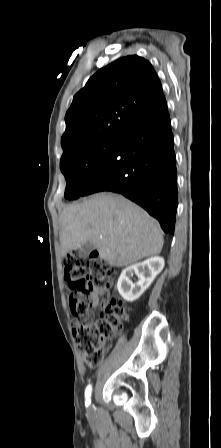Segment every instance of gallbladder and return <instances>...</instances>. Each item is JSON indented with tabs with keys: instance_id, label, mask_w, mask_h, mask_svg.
Returning <instances> with one entry per match:
<instances>
[{
	"instance_id": "gallbladder-1",
	"label": "gallbladder",
	"mask_w": 221,
	"mask_h": 448,
	"mask_svg": "<svg viewBox=\"0 0 221 448\" xmlns=\"http://www.w3.org/2000/svg\"><path fill=\"white\" fill-rule=\"evenodd\" d=\"M94 249V245L91 242H87L86 244L82 245L79 249V257L80 258H86L91 251Z\"/></svg>"
}]
</instances>
